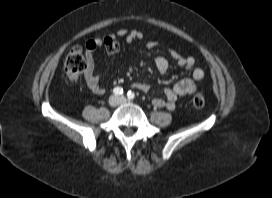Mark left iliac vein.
I'll return each mask as SVG.
<instances>
[{
	"mask_svg": "<svg viewBox=\"0 0 272 198\" xmlns=\"http://www.w3.org/2000/svg\"><path fill=\"white\" fill-rule=\"evenodd\" d=\"M119 99L120 103H126V98L124 96H121Z\"/></svg>",
	"mask_w": 272,
	"mask_h": 198,
	"instance_id": "left-iliac-vein-1",
	"label": "left iliac vein"
}]
</instances>
